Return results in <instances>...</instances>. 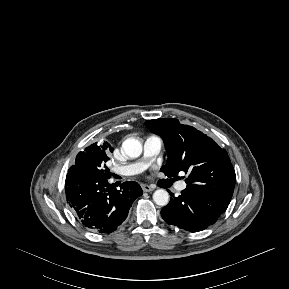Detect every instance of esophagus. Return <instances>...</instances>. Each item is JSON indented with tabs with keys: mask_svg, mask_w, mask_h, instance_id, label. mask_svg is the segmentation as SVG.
I'll list each match as a JSON object with an SVG mask.
<instances>
[{
	"mask_svg": "<svg viewBox=\"0 0 289 289\" xmlns=\"http://www.w3.org/2000/svg\"><path fill=\"white\" fill-rule=\"evenodd\" d=\"M141 187H142L143 191H145V192H151L155 189L154 186L146 185V184L141 185Z\"/></svg>",
	"mask_w": 289,
	"mask_h": 289,
	"instance_id": "esophagus-1",
	"label": "esophagus"
}]
</instances>
